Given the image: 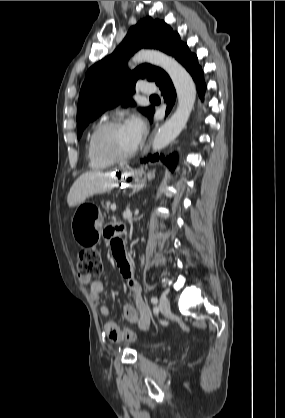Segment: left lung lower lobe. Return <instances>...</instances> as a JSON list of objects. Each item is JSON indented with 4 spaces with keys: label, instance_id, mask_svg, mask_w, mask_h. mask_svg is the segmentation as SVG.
<instances>
[{
    "label": "left lung lower lobe",
    "instance_id": "left-lung-lower-lobe-1",
    "mask_svg": "<svg viewBox=\"0 0 285 418\" xmlns=\"http://www.w3.org/2000/svg\"><path fill=\"white\" fill-rule=\"evenodd\" d=\"M171 55L180 62L186 70L191 74L193 80L196 83V87L199 93L200 98H203L204 92L206 89V85L204 82V76L203 71L201 67L198 64L197 56L194 53H191L189 50V47L186 43H183L181 40L177 41L171 50ZM156 84L161 89V93L163 96L164 101L167 104L166 108V115L169 114V112L172 109V106L175 103L176 99V91L172 84V81L170 77L163 71L157 81ZM152 120V117H151ZM161 159L166 163L170 169H174L177 161V156L174 154L173 156L164 157L163 155H149L148 158L142 160L141 162H148V161H158Z\"/></svg>",
    "mask_w": 285,
    "mask_h": 418
}]
</instances>
